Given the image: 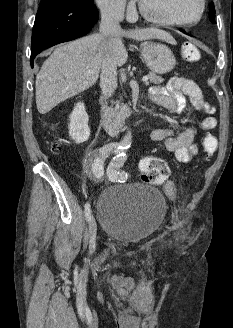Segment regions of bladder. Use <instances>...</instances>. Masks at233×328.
I'll list each match as a JSON object with an SVG mask.
<instances>
[{
	"label": "bladder",
	"mask_w": 233,
	"mask_h": 328,
	"mask_svg": "<svg viewBox=\"0 0 233 328\" xmlns=\"http://www.w3.org/2000/svg\"><path fill=\"white\" fill-rule=\"evenodd\" d=\"M166 201L156 189L140 183L107 187L97 201L102 231L121 242H139L163 223Z\"/></svg>",
	"instance_id": "31cf9c89"
}]
</instances>
